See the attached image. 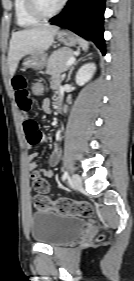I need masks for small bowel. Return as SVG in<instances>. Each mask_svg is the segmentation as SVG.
<instances>
[{
  "label": "small bowel",
  "mask_w": 134,
  "mask_h": 281,
  "mask_svg": "<svg viewBox=\"0 0 134 281\" xmlns=\"http://www.w3.org/2000/svg\"><path fill=\"white\" fill-rule=\"evenodd\" d=\"M61 77L59 75H53L51 78V87L57 89L61 84ZM11 85L14 90L15 99L20 109L21 120L26 135V141L28 146H36L45 141V137L39 130L38 124L30 117L29 113L32 107V94L30 91L29 78L22 73L15 74L11 79ZM37 153H32L28 157V167L31 171L40 173L45 178H52L54 173L51 169L38 170L35 160ZM60 159L59 149L54 148V151L49 157V166L55 167Z\"/></svg>",
  "instance_id": "c3829d8e"
}]
</instances>
